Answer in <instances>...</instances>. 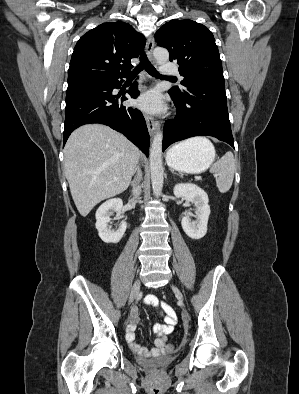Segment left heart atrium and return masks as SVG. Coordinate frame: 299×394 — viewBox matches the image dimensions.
Returning a JSON list of instances; mask_svg holds the SVG:
<instances>
[{"instance_id": "39dd6f15", "label": "left heart atrium", "mask_w": 299, "mask_h": 394, "mask_svg": "<svg viewBox=\"0 0 299 394\" xmlns=\"http://www.w3.org/2000/svg\"><path fill=\"white\" fill-rule=\"evenodd\" d=\"M142 110L155 113L163 108L162 99L158 91L152 90L143 94L137 101Z\"/></svg>"}]
</instances>
